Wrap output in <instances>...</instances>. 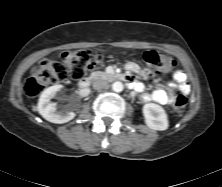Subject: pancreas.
I'll return each instance as SVG.
<instances>
[{
	"label": "pancreas",
	"instance_id": "cf45deb5",
	"mask_svg": "<svg viewBox=\"0 0 222 187\" xmlns=\"http://www.w3.org/2000/svg\"><path fill=\"white\" fill-rule=\"evenodd\" d=\"M114 76H115L114 74H108L106 72H101V71L93 72L91 74V78H93V79L98 78V77L105 78V79H111Z\"/></svg>",
	"mask_w": 222,
	"mask_h": 187
}]
</instances>
